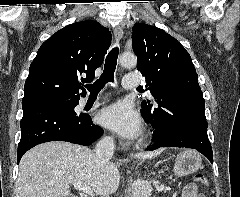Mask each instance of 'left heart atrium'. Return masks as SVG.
Segmentation results:
<instances>
[{"label":"left heart atrium","instance_id":"1","mask_svg":"<svg viewBox=\"0 0 240 197\" xmlns=\"http://www.w3.org/2000/svg\"><path fill=\"white\" fill-rule=\"evenodd\" d=\"M100 121L103 126L123 138L133 139L142 130L138 111L127 101H120L105 108L100 115Z\"/></svg>","mask_w":240,"mask_h":197}]
</instances>
